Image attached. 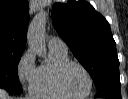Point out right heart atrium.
I'll return each instance as SVG.
<instances>
[{
	"label": "right heart atrium",
	"mask_w": 128,
	"mask_h": 99,
	"mask_svg": "<svg viewBox=\"0 0 128 99\" xmlns=\"http://www.w3.org/2000/svg\"><path fill=\"white\" fill-rule=\"evenodd\" d=\"M35 55L31 49L26 50L19 59L17 74L23 86H31L35 75Z\"/></svg>",
	"instance_id": "d8ad5b80"
}]
</instances>
